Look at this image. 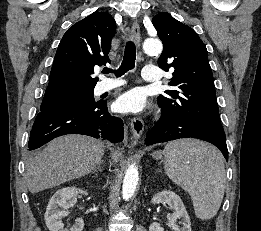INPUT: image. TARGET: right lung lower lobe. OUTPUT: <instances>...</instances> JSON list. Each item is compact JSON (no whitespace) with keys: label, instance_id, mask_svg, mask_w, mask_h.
I'll return each mask as SVG.
<instances>
[{"label":"right lung lower lobe","instance_id":"right-lung-lower-lobe-1","mask_svg":"<svg viewBox=\"0 0 261 231\" xmlns=\"http://www.w3.org/2000/svg\"><path fill=\"white\" fill-rule=\"evenodd\" d=\"M66 134H85L117 143L123 140V121L108 112L105 100L40 112L30 133L29 150Z\"/></svg>","mask_w":261,"mask_h":231}]
</instances>
